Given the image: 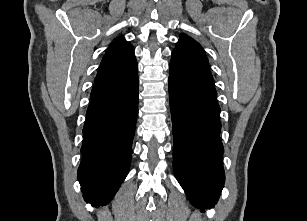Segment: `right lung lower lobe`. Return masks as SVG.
<instances>
[{"instance_id":"1","label":"right lung lower lobe","mask_w":307,"mask_h":221,"mask_svg":"<svg viewBox=\"0 0 307 221\" xmlns=\"http://www.w3.org/2000/svg\"><path fill=\"white\" fill-rule=\"evenodd\" d=\"M138 77L127 87L90 98L78 180L86 202H110L129 171L138 115Z\"/></svg>"}]
</instances>
